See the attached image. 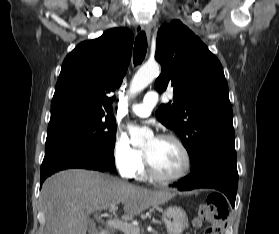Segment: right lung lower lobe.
<instances>
[{"label": "right lung lower lobe", "mask_w": 279, "mask_h": 234, "mask_svg": "<svg viewBox=\"0 0 279 234\" xmlns=\"http://www.w3.org/2000/svg\"><path fill=\"white\" fill-rule=\"evenodd\" d=\"M68 168H85L106 171L109 168L85 150L66 147L44 157L41 165L40 188L43 181L53 173Z\"/></svg>", "instance_id": "obj_1"}]
</instances>
